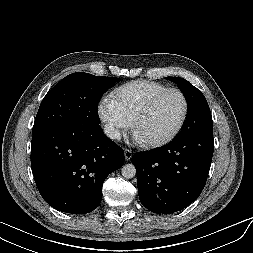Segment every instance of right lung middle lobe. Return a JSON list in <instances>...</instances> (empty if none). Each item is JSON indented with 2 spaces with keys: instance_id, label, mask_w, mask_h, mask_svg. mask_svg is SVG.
I'll list each match as a JSON object with an SVG mask.
<instances>
[{
  "instance_id": "obj_1",
  "label": "right lung middle lobe",
  "mask_w": 253,
  "mask_h": 253,
  "mask_svg": "<svg viewBox=\"0 0 253 253\" xmlns=\"http://www.w3.org/2000/svg\"><path fill=\"white\" fill-rule=\"evenodd\" d=\"M118 78L76 72L63 78L43 98L32 134L77 125L99 126L97 108L101 96Z\"/></svg>"
}]
</instances>
